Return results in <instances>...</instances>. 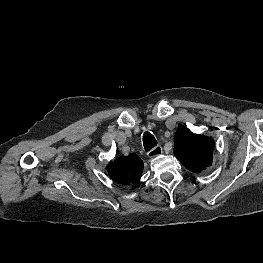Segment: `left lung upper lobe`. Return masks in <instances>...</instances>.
Listing matches in <instances>:
<instances>
[{
    "mask_svg": "<svg viewBox=\"0 0 263 263\" xmlns=\"http://www.w3.org/2000/svg\"><path fill=\"white\" fill-rule=\"evenodd\" d=\"M174 155L190 171L200 173L212 164L214 140L180 126L175 134Z\"/></svg>",
    "mask_w": 263,
    "mask_h": 263,
    "instance_id": "obj_1",
    "label": "left lung upper lobe"
}]
</instances>
